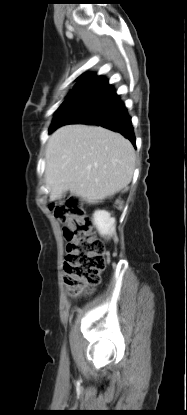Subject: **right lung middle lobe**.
<instances>
[{"label":"right lung middle lobe","mask_w":187,"mask_h":415,"mask_svg":"<svg viewBox=\"0 0 187 415\" xmlns=\"http://www.w3.org/2000/svg\"><path fill=\"white\" fill-rule=\"evenodd\" d=\"M69 98H70V94L68 95L67 99L63 102V104H66V103H67V101L69 100ZM63 104H62V105H63ZM62 105H61V106H62ZM61 106H60V107H61Z\"/></svg>","instance_id":"1"}]
</instances>
